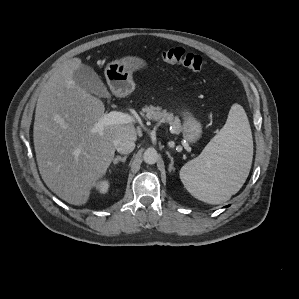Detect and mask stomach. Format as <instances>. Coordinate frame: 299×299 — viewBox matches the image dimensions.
<instances>
[{"mask_svg":"<svg viewBox=\"0 0 299 299\" xmlns=\"http://www.w3.org/2000/svg\"><path fill=\"white\" fill-rule=\"evenodd\" d=\"M146 66V61L138 56H126L110 62L105 69V77L111 91L117 96L130 94L135 88L133 72ZM181 115L183 137L189 143H195L202 134L201 124L186 110L181 112Z\"/></svg>","mask_w":299,"mask_h":299,"instance_id":"obj_1","label":"stomach"}]
</instances>
